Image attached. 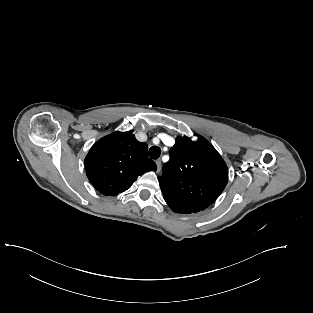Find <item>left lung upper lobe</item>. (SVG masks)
<instances>
[{"instance_id":"1","label":"left lung upper lobe","mask_w":313,"mask_h":313,"mask_svg":"<svg viewBox=\"0 0 313 313\" xmlns=\"http://www.w3.org/2000/svg\"><path fill=\"white\" fill-rule=\"evenodd\" d=\"M162 176L164 199L198 212L210 206L228 181V168L216 149L203 137L197 141L177 137Z\"/></svg>"}]
</instances>
